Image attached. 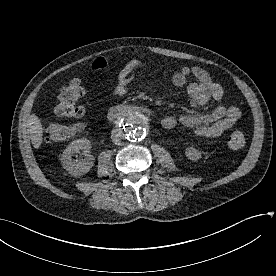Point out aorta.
I'll return each instance as SVG.
<instances>
[{
  "instance_id": "obj_1",
  "label": "aorta",
  "mask_w": 276,
  "mask_h": 276,
  "mask_svg": "<svg viewBox=\"0 0 276 276\" xmlns=\"http://www.w3.org/2000/svg\"><path fill=\"white\" fill-rule=\"evenodd\" d=\"M121 130L124 136L131 141H141L146 136V121L138 110H128L122 117Z\"/></svg>"
}]
</instances>
